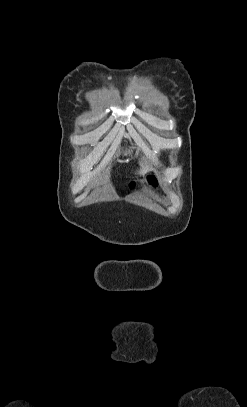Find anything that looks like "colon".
I'll return each instance as SVG.
<instances>
[{"instance_id": "1", "label": "colon", "mask_w": 247, "mask_h": 407, "mask_svg": "<svg viewBox=\"0 0 247 407\" xmlns=\"http://www.w3.org/2000/svg\"><path fill=\"white\" fill-rule=\"evenodd\" d=\"M147 181H148V183H149L150 185H152L153 187H156V186H157V180H156L154 177H149Z\"/></svg>"}]
</instances>
